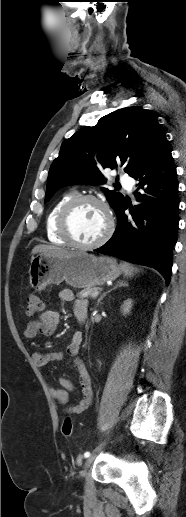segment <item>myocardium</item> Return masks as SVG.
I'll use <instances>...</instances> for the list:
<instances>
[{"label": "myocardium", "mask_w": 186, "mask_h": 517, "mask_svg": "<svg viewBox=\"0 0 186 517\" xmlns=\"http://www.w3.org/2000/svg\"><path fill=\"white\" fill-rule=\"evenodd\" d=\"M92 202L99 205L105 213L107 219V226L103 234L96 241L92 243H81L77 241L71 232L70 228V220L75 211V209L82 203ZM114 218L112 212L105 201L100 199L99 197L91 194L84 195H76L72 199H70L60 211L58 217V232L60 236L66 240V242L78 249L82 250H93L96 249L103 244H105L112 236L114 232Z\"/></svg>", "instance_id": "1"}]
</instances>
